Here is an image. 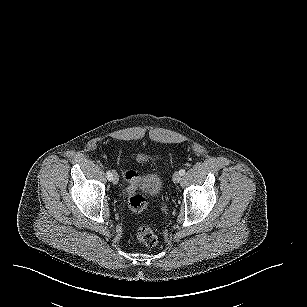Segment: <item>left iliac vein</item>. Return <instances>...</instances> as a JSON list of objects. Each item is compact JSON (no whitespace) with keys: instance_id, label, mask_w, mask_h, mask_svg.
Returning a JSON list of instances; mask_svg holds the SVG:
<instances>
[{"instance_id":"obj_1","label":"left iliac vein","mask_w":307,"mask_h":307,"mask_svg":"<svg viewBox=\"0 0 307 307\" xmlns=\"http://www.w3.org/2000/svg\"><path fill=\"white\" fill-rule=\"evenodd\" d=\"M182 179V175L177 171L173 175V181L174 183H179Z\"/></svg>"}]
</instances>
